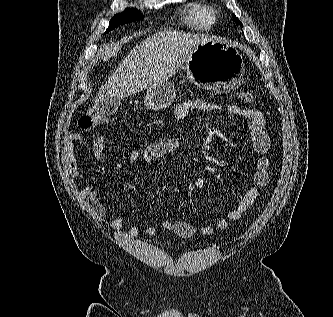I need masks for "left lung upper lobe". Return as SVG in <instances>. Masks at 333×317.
I'll return each instance as SVG.
<instances>
[{
  "label": "left lung upper lobe",
  "instance_id": "obj_1",
  "mask_svg": "<svg viewBox=\"0 0 333 317\" xmlns=\"http://www.w3.org/2000/svg\"><path fill=\"white\" fill-rule=\"evenodd\" d=\"M233 20L238 24H242L235 15H233Z\"/></svg>",
  "mask_w": 333,
  "mask_h": 317
}]
</instances>
